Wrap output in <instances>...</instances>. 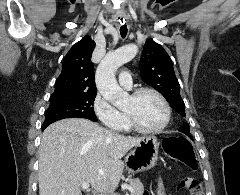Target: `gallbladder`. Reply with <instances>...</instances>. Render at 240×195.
Returning <instances> with one entry per match:
<instances>
[{
  "mask_svg": "<svg viewBox=\"0 0 240 195\" xmlns=\"http://www.w3.org/2000/svg\"><path fill=\"white\" fill-rule=\"evenodd\" d=\"M83 195H90V192H83Z\"/></svg>",
  "mask_w": 240,
  "mask_h": 195,
  "instance_id": "1",
  "label": "gallbladder"
}]
</instances>
